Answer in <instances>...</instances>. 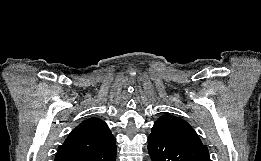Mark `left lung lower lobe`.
<instances>
[{
    "label": "left lung lower lobe",
    "mask_w": 261,
    "mask_h": 161,
    "mask_svg": "<svg viewBox=\"0 0 261 161\" xmlns=\"http://www.w3.org/2000/svg\"><path fill=\"white\" fill-rule=\"evenodd\" d=\"M148 152L152 161H210L205 147L173 144L151 135L148 138Z\"/></svg>",
    "instance_id": "left-lung-lower-lobe-1"
}]
</instances>
